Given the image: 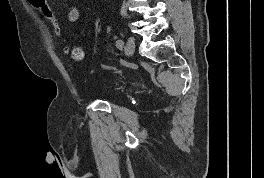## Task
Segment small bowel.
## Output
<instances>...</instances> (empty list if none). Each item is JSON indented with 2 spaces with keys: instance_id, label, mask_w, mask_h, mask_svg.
I'll use <instances>...</instances> for the list:
<instances>
[{
  "instance_id": "obj_1",
  "label": "small bowel",
  "mask_w": 264,
  "mask_h": 178,
  "mask_svg": "<svg viewBox=\"0 0 264 178\" xmlns=\"http://www.w3.org/2000/svg\"><path fill=\"white\" fill-rule=\"evenodd\" d=\"M67 18L70 23L77 22L80 18L79 9L76 6H72L68 11Z\"/></svg>"
}]
</instances>
